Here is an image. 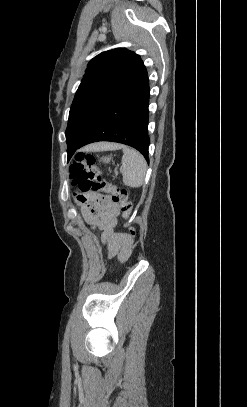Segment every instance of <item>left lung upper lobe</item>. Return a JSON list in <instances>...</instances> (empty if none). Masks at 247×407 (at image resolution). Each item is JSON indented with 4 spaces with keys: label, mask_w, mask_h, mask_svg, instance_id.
Segmentation results:
<instances>
[{
    "label": "left lung upper lobe",
    "mask_w": 247,
    "mask_h": 407,
    "mask_svg": "<svg viewBox=\"0 0 247 407\" xmlns=\"http://www.w3.org/2000/svg\"><path fill=\"white\" fill-rule=\"evenodd\" d=\"M145 70L140 56L124 48L108 50L90 61L69 112L68 159L105 108Z\"/></svg>",
    "instance_id": "obj_1"
}]
</instances>
